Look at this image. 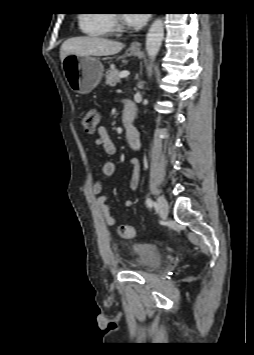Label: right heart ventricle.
I'll return each mask as SVG.
<instances>
[{"label":"right heart ventricle","mask_w":254,"mask_h":355,"mask_svg":"<svg viewBox=\"0 0 254 355\" xmlns=\"http://www.w3.org/2000/svg\"><path fill=\"white\" fill-rule=\"evenodd\" d=\"M113 17L107 12L84 13L79 18L83 33L91 37H108L113 32Z\"/></svg>","instance_id":"right-heart-ventricle-1"}]
</instances>
